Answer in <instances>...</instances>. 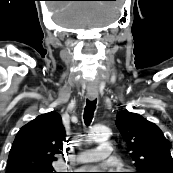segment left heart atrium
I'll return each mask as SVG.
<instances>
[{"instance_id":"39dd6f15","label":"left heart atrium","mask_w":173,"mask_h":173,"mask_svg":"<svg viewBox=\"0 0 173 173\" xmlns=\"http://www.w3.org/2000/svg\"><path fill=\"white\" fill-rule=\"evenodd\" d=\"M92 169L91 171H99V170H105L106 168L103 167H95V168H89Z\"/></svg>"}]
</instances>
